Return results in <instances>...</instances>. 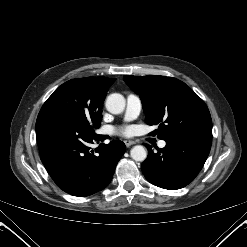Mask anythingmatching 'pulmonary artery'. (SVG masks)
Returning <instances> with one entry per match:
<instances>
[{"label":"pulmonary artery","mask_w":247,"mask_h":247,"mask_svg":"<svg viewBox=\"0 0 247 247\" xmlns=\"http://www.w3.org/2000/svg\"><path fill=\"white\" fill-rule=\"evenodd\" d=\"M142 109V102L138 95L130 93L126 97V110L124 114V119L126 121H131L136 119ZM166 142L164 140H161L158 142V146L160 148L165 147Z\"/></svg>","instance_id":"1"}]
</instances>
